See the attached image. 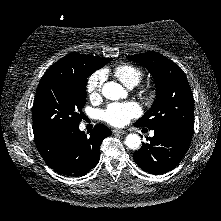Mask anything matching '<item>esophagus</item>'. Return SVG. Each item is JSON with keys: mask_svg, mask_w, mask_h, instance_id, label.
Instances as JSON below:
<instances>
[{"mask_svg": "<svg viewBox=\"0 0 221 221\" xmlns=\"http://www.w3.org/2000/svg\"><path fill=\"white\" fill-rule=\"evenodd\" d=\"M113 133H114V134L124 135V134H126L127 132L124 131V130H120V129H114V130H113Z\"/></svg>", "mask_w": 221, "mask_h": 221, "instance_id": "34e87169", "label": "esophagus"}]
</instances>
